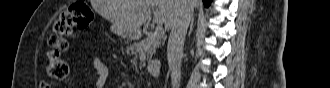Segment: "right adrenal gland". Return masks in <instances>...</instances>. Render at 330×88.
Returning <instances> with one entry per match:
<instances>
[{"label": "right adrenal gland", "mask_w": 330, "mask_h": 88, "mask_svg": "<svg viewBox=\"0 0 330 88\" xmlns=\"http://www.w3.org/2000/svg\"><path fill=\"white\" fill-rule=\"evenodd\" d=\"M193 18L191 19V23H190V31H189V34L188 35H190L191 34V32H192V27H193Z\"/></svg>", "instance_id": "obj_1"}]
</instances>
